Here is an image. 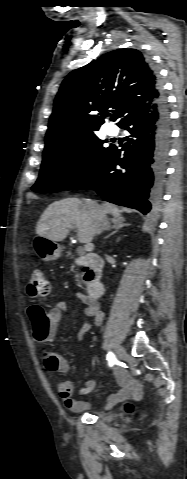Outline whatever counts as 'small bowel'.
Segmentation results:
<instances>
[{
    "label": "small bowel",
    "mask_w": 187,
    "mask_h": 479,
    "mask_svg": "<svg viewBox=\"0 0 187 479\" xmlns=\"http://www.w3.org/2000/svg\"><path fill=\"white\" fill-rule=\"evenodd\" d=\"M76 297L84 304L85 312L90 317V321L86 323L78 333L80 340L84 339L86 332L92 326H99L103 321V312L98 303L89 296L82 293H76ZM70 309L66 303L55 304L49 313V317L44 315L43 308L40 305L34 304L28 308V317L32 323L35 336L42 337L53 334L62 318L64 311ZM43 361L45 369L50 373H71V366L69 362L60 354L54 351H45L43 353ZM115 376L120 386V390L111 394L103 409H109L119 401L131 397L133 399H140L142 397V384L140 381L133 379L122 367L115 369ZM95 381L91 380L82 389L81 393L86 394L93 390ZM57 391L62 398L64 405L71 411L88 410L91 405L88 402L76 400L73 396V380L65 379L57 383Z\"/></svg>",
    "instance_id": "c3829d8e"
}]
</instances>
